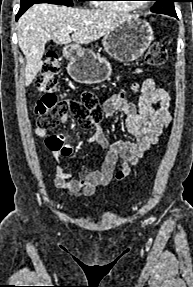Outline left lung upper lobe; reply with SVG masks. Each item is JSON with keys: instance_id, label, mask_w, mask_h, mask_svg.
Returning <instances> with one entry per match:
<instances>
[{"instance_id": "obj_1", "label": "left lung upper lobe", "mask_w": 193, "mask_h": 287, "mask_svg": "<svg viewBox=\"0 0 193 287\" xmlns=\"http://www.w3.org/2000/svg\"><path fill=\"white\" fill-rule=\"evenodd\" d=\"M156 3L151 8L154 13L171 14L175 12L174 2L177 0H153Z\"/></svg>"}]
</instances>
